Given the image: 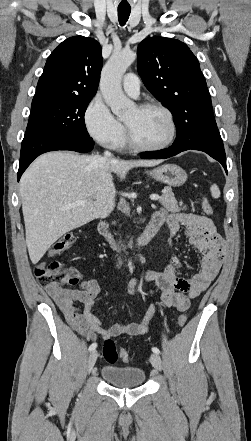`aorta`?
<instances>
[{
    "mask_svg": "<svg viewBox=\"0 0 251 441\" xmlns=\"http://www.w3.org/2000/svg\"><path fill=\"white\" fill-rule=\"evenodd\" d=\"M135 58L136 54L131 50L113 53L101 73V93L106 104L118 117L125 116L134 107V103L122 91L121 79Z\"/></svg>",
    "mask_w": 251,
    "mask_h": 441,
    "instance_id": "762f6f07",
    "label": "aorta"
}]
</instances>
